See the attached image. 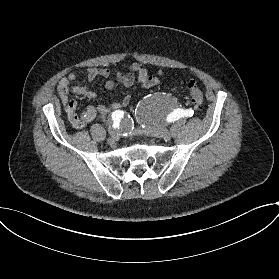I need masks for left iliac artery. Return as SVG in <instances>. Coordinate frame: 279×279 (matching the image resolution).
Here are the masks:
<instances>
[{
    "instance_id": "1",
    "label": "left iliac artery",
    "mask_w": 279,
    "mask_h": 279,
    "mask_svg": "<svg viewBox=\"0 0 279 279\" xmlns=\"http://www.w3.org/2000/svg\"><path fill=\"white\" fill-rule=\"evenodd\" d=\"M194 111L190 108L187 110L177 109L172 114H169L167 117V121H175L178 120L180 117H191L193 116Z\"/></svg>"
}]
</instances>
